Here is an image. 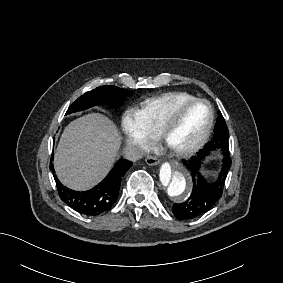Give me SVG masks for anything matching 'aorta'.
<instances>
[{
    "instance_id": "obj_1",
    "label": "aorta",
    "mask_w": 283,
    "mask_h": 283,
    "mask_svg": "<svg viewBox=\"0 0 283 283\" xmlns=\"http://www.w3.org/2000/svg\"><path fill=\"white\" fill-rule=\"evenodd\" d=\"M158 187L160 194L174 202L187 201L192 190L189 171L179 162L163 163L159 170Z\"/></svg>"
}]
</instances>
